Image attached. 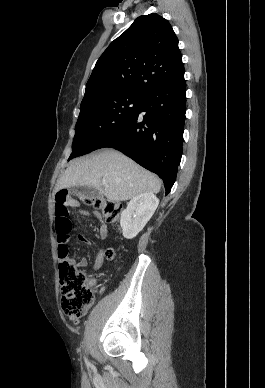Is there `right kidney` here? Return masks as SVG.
<instances>
[{
  "label": "right kidney",
  "mask_w": 265,
  "mask_h": 388,
  "mask_svg": "<svg viewBox=\"0 0 265 388\" xmlns=\"http://www.w3.org/2000/svg\"><path fill=\"white\" fill-rule=\"evenodd\" d=\"M158 204L159 200L152 192L138 194L128 202L120 220L122 234L126 240H132L143 230L145 224L152 218Z\"/></svg>",
  "instance_id": "1"
}]
</instances>
